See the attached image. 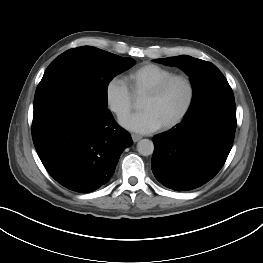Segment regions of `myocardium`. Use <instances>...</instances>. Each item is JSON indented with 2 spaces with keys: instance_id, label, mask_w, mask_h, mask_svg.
Segmentation results:
<instances>
[{
  "instance_id": "myocardium-1",
  "label": "myocardium",
  "mask_w": 263,
  "mask_h": 263,
  "mask_svg": "<svg viewBox=\"0 0 263 263\" xmlns=\"http://www.w3.org/2000/svg\"><path fill=\"white\" fill-rule=\"evenodd\" d=\"M177 80H181L185 83L188 90L187 99L182 109L171 120L163 124L162 127L164 129H170L177 125L183 120L191 109L195 99V85L192 78L187 74H172L158 82L144 93V96L157 97L161 95L172 82Z\"/></svg>"
}]
</instances>
